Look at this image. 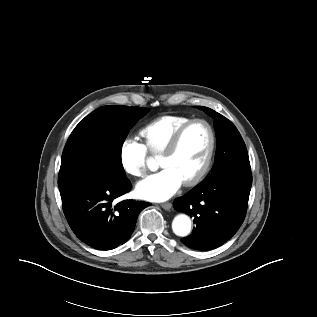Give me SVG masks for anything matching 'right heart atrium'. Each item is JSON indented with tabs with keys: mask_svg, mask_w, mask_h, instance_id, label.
Returning a JSON list of instances; mask_svg holds the SVG:
<instances>
[{
	"mask_svg": "<svg viewBox=\"0 0 317 317\" xmlns=\"http://www.w3.org/2000/svg\"><path fill=\"white\" fill-rule=\"evenodd\" d=\"M123 170L134 177H143L147 172L148 150L145 145L134 137L125 139L119 151Z\"/></svg>",
	"mask_w": 317,
	"mask_h": 317,
	"instance_id": "obj_1",
	"label": "right heart atrium"
}]
</instances>
